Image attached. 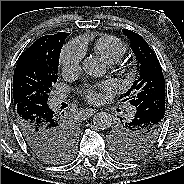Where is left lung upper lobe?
Returning <instances> with one entry per match:
<instances>
[{
    "label": "left lung upper lobe",
    "mask_w": 184,
    "mask_h": 184,
    "mask_svg": "<svg viewBox=\"0 0 184 184\" xmlns=\"http://www.w3.org/2000/svg\"><path fill=\"white\" fill-rule=\"evenodd\" d=\"M123 33L130 39V47L140 64V73L124 97L130 104L137 107L154 95H165V80L159 60L148 43L137 33L123 29ZM122 121L111 129L109 139L115 155L122 160H132L144 155L154 144L153 140L161 129L158 125L135 127ZM158 138V137H157Z\"/></svg>",
    "instance_id": "obj_1"
}]
</instances>
